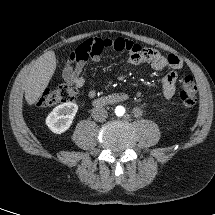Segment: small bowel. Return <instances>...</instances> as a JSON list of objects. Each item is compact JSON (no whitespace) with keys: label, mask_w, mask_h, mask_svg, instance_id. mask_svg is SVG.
Here are the masks:
<instances>
[{"label":"small bowel","mask_w":215,"mask_h":215,"mask_svg":"<svg viewBox=\"0 0 215 215\" xmlns=\"http://www.w3.org/2000/svg\"><path fill=\"white\" fill-rule=\"evenodd\" d=\"M104 49L126 51L131 64H147L156 71L169 68L170 71L160 78L159 84L164 98L166 100L173 98L176 91V71L182 68V60L175 54L162 55L156 49L142 48L128 38H90L83 42L70 55V61L63 70L64 81L76 88L83 87L86 77L82 72L87 61L90 59L94 63L99 62ZM87 96L94 98L96 91L94 89L88 90Z\"/></svg>","instance_id":"small-bowel-1"}]
</instances>
